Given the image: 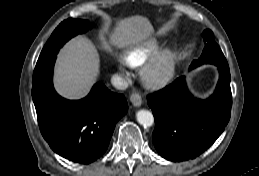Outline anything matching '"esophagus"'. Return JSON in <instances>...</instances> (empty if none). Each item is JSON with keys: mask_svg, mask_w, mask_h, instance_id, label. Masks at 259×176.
<instances>
[{"mask_svg": "<svg viewBox=\"0 0 259 176\" xmlns=\"http://www.w3.org/2000/svg\"><path fill=\"white\" fill-rule=\"evenodd\" d=\"M130 101L135 107H139L142 104V98L141 95L137 92H134L130 96Z\"/></svg>", "mask_w": 259, "mask_h": 176, "instance_id": "obj_1", "label": "esophagus"}]
</instances>
